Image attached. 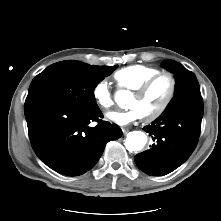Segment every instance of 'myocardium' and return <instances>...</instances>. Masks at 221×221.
Instances as JSON below:
<instances>
[{
    "instance_id": "obj_1",
    "label": "myocardium",
    "mask_w": 221,
    "mask_h": 221,
    "mask_svg": "<svg viewBox=\"0 0 221 221\" xmlns=\"http://www.w3.org/2000/svg\"><path fill=\"white\" fill-rule=\"evenodd\" d=\"M163 76L168 77L169 82H170L168 94H167L163 104L156 111H154L153 113H151L149 115L142 116V119L145 122H153V121L157 120L169 108V106L171 105V103L175 97V94H176V89H177L176 77L170 71L159 72V73L155 74L154 76L150 77L148 80H146L143 84H141L137 89H135L133 91L134 95H136L138 97H142V96L146 95L147 92L149 91V89L153 86V84Z\"/></svg>"
}]
</instances>
